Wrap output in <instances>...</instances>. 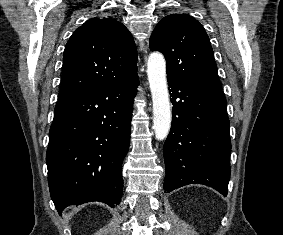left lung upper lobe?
<instances>
[{
  "label": "left lung upper lobe",
  "instance_id": "1",
  "mask_svg": "<svg viewBox=\"0 0 283 235\" xmlns=\"http://www.w3.org/2000/svg\"><path fill=\"white\" fill-rule=\"evenodd\" d=\"M150 49L165 56L167 77L222 90L210 40L204 27L193 17L187 14L164 17L150 37Z\"/></svg>",
  "mask_w": 283,
  "mask_h": 235
}]
</instances>
